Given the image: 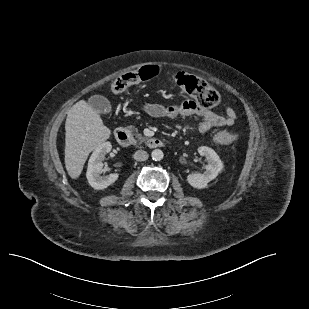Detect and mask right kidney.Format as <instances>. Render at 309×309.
<instances>
[{"instance_id":"ca27d5eb","label":"right kidney","mask_w":309,"mask_h":309,"mask_svg":"<svg viewBox=\"0 0 309 309\" xmlns=\"http://www.w3.org/2000/svg\"><path fill=\"white\" fill-rule=\"evenodd\" d=\"M111 149L112 145L110 142H104L100 144L97 148H95L88 161L86 177L90 186L94 189H105L109 185L113 184L119 177L117 173L110 174L109 176L100 175L103 167L102 161L105 158V155L111 151Z\"/></svg>"}]
</instances>
